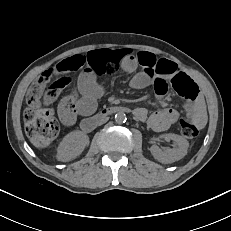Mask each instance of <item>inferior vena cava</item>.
<instances>
[{
    "instance_id": "1",
    "label": "inferior vena cava",
    "mask_w": 231,
    "mask_h": 231,
    "mask_svg": "<svg viewBox=\"0 0 231 231\" xmlns=\"http://www.w3.org/2000/svg\"><path fill=\"white\" fill-rule=\"evenodd\" d=\"M111 121H112V117H111V116L104 117V118H101V119L98 121V125H99V126H104L105 124H107L108 122H111Z\"/></svg>"
}]
</instances>
